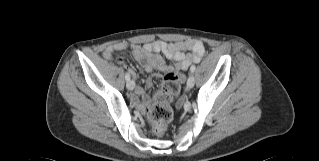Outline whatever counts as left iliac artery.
I'll use <instances>...</instances> for the list:
<instances>
[{
	"mask_svg": "<svg viewBox=\"0 0 319 161\" xmlns=\"http://www.w3.org/2000/svg\"><path fill=\"white\" fill-rule=\"evenodd\" d=\"M195 70H196V66L192 65L191 68H190L191 73H193Z\"/></svg>",
	"mask_w": 319,
	"mask_h": 161,
	"instance_id": "left-iliac-artery-1",
	"label": "left iliac artery"
}]
</instances>
